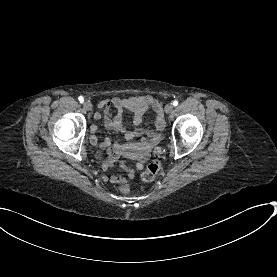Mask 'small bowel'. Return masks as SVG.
<instances>
[{
  "mask_svg": "<svg viewBox=\"0 0 277 277\" xmlns=\"http://www.w3.org/2000/svg\"><path fill=\"white\" fill-rule=\"evenodd\" d=\"M112 104L115 107L114 113H111L113 110ZM99 105L104 108L106 112L104 123L108 129L116 130L131 139L143 136L140 141L130 142L125 145V150L138 149L141 151L139 163L136 165L122 164L121 167L124 174L113 175L110 177V181L112 183H129L133 179L134 175L141 169V163L144 161L145 157V149L159 139V133H154L145 128L129 130L123 123L124 112H130L133 115V124L135 126H140L143 123L145 112L151 108L154 112L156 129L160 132L164 128L165 124L162 103L151 95L132 96L127 98H114L109 96L101 99ZM100 117V114H95L96 119H99ZM94 131L95 129L92 128L90 140L93 144H98L100 148L109 151V158L104 165L105 168H109L118 158L121 147L118 143H111L107 139L98 143L93 134Z\"/></svg>",
  "mask_w": 277,
  "mask_h": 277,
  "instance_id": "c3829d8e",
  "label": "small bowel"
}]
</instances>
